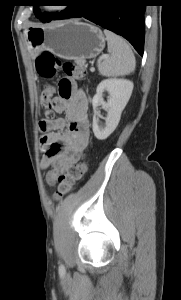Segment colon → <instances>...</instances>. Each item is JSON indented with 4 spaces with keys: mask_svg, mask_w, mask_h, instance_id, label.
<instances>
[{
    "mask_svg": "<svg viewBox=\"0 0 181 300\" xmlns=\"http://www.w3.org/2000/svg\"><path fill=\"white\" fill-rule=\"evenodd\" d=\"M36 70L38 74L45 79H51L57 75L59 70H62L69 78L75 80H82L86 74V69L76 65L72 62H61L58 57L50 52H43L36 60ZM55 87L47 85L40 96V106L45 111L47 119L54 118L53 114V95ZM41 131L44 130L48 124L47 122H40ZM87 171V158L70 165L65 171L59 173L57 176V191L55 199H61L66 196L74 187V185L82 179Z\"/></svg>",
    "mask_w": 181,
    "mask_h": 300,
    "instance_id": "colon-1",
    "label": "colon"
}]
</instances>
